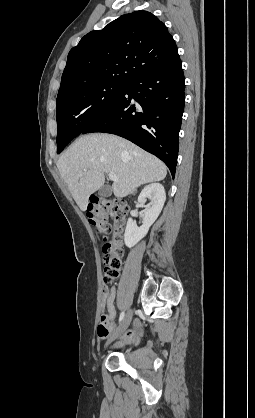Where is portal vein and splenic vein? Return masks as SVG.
I'll return each instance as SVG.
<instances>
[{
  "mask_svg": "<svg viewBox=\"0 0 255 418\" xmlns=\"http://www.w3.org/2000/svg\"><path fill=\"white\" fill-rule=\"evenodd\" d=\"M84 171H86V169H84ZM109 179L114 181V182H118V178L114 173H109Z\"/></svg>",
  "mask_w": 255,
  "mask_h": 418,
  "instance_id": "1",
  "label": "portal vein and splenic vein"
}]
</instances>
